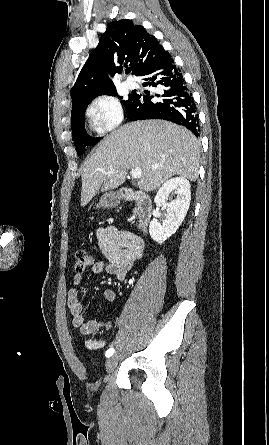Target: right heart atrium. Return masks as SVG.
<instances>
[{
  "label": "right heart atrium",
  "mask_w": 269,
  "mask_h": 445,
  "mask_svg": "<svg viewBox=\"0 0 269 445\" xmlns=\"http://www.w3.org/2000/svg\"><path fill=\"white\" fill-rule=\"evenodd\" d=\"M86 115L100 132H109L122 122L123 110L115 97L102 94L89 102Z\"/></svg>",
  "instance_id": "obj_1"
}]
</instances>
